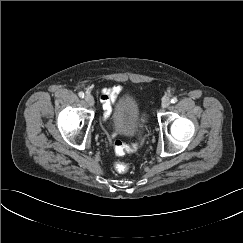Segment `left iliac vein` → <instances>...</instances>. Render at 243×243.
Returning <instances> with one entry per match:
<instances>
[{
	"label": "left iliac vein",
	"mask_w": 243,
	"mask_h": 243,
	"mask_svg": "<svg viewBox=\"0 0 243 243\" xmlns=\"http://www.w3.org/2000/svg\"><path fill=\"white\" fill-rule=\"evenodd\" d=\"M170 105V100L168 98H164L162 101V107L167 108Z\"/></svg>",
	"instance_id": "obj_1"
}]
</instances>
